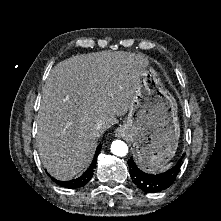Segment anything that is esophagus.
I'll return each instance as SVG.
<instances>
[{"label": "esophagus", "instance_id": "obj_1", "mask_svg": "<svg viewBox=\"0 0 221 221\" xmlns=\"http://www.w3.org/2000/svg\"><path fill=\"white\" fill-rule=\"evenodd\" d=\"M123 133H124V130H123V128H117L116 130H115V135L116 136H122L123 135Z\"/></svg>", "mask_w": 221, "mask_h": 221}]
</instances>
